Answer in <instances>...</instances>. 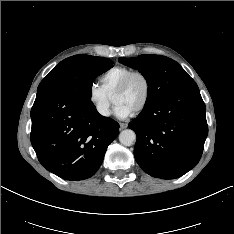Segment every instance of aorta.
<instances>
[{
    "label": "aorta",
    "mask_w": 234,
    "mask_h": 234,
    "mask_svg": "<svg viewBox=\"0 0 234 234\" xmlns=\"http://www.w3.org/2000/svg\"><path fill=\"white\" fill-rule=\"evenodd\" d=\"M136 140V134L131 129H126L120 132L119 141L124 146H131Z\"/></svg>",
    "instance_id": "762f6f07"
}]
</instances>
